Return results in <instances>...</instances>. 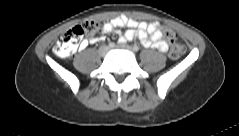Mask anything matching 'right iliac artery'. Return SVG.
Returning <instances> with one entry per match:
<instances>
[{"label": "right iliac artery", "mask_w": 239, "mask_h": 136, "mask_svg": "<svg viewBox=\"0 0 239 136\" xmlns=\"http://www.w3.org/2000/svg\"><path fill=\"white\" fill-rule=\"evenodd\" d=\"M109 47H110V48L115 47V43H113V42L109 43Z\"/></svg>", "instance_id": "right-iliac-artery-1"}]
</instances>
